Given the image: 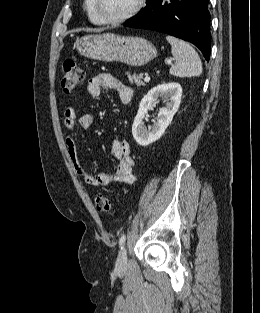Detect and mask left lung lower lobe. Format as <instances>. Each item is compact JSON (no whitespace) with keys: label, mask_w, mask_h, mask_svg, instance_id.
Segmentation results:
<instances>
[{"label":"left lung lower lobe","mask_w":260,"mask_h":313,"mask_svg":"<svg viewBox=\"0 0 260 313\" xmlns=\"http://www.w3.org/2000/svg\"><path fill=\"white\" fill-rule=\"evenodd\" d=\"M208 0H149L127 27L163 32L196 45L206 60L210 57L211 34Z\"/></svg>","instance_id":"0a47b994"}]
</instances>
